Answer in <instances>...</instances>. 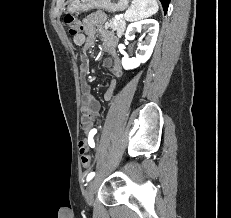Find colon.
Masks as SVG:
<instances>
[{
  "label": "colon",
  "instance_id": "5ec220e1",
  "mask_svg": "<svg viewBox=\"0 0 231 218\" xmlns=\"http://www.w3.org/2000/svg\"><path fill=\"white\" fill-rule=\"evenodd\" d=\"M65 25L70 35L77 36L83 29L82 23L73 15H66L64 18ZM81 163L83 167L90 168L92 164L91 157L88 153L81 150Z\"/></svg>",
  "mask_w": 231,
  "mask_h": 218
}]
</instances>
